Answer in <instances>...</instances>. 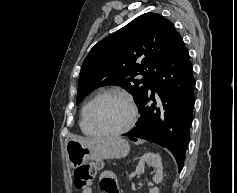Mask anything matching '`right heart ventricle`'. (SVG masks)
<instances>
[{
	"instance_id": "right-heart-ventricle-1",
	"label": "right heart ventricle",
	"mask_w": 237,
	"mask_h": 193,
	"mask_svg": "<svg viewBox=\"0 0 237 193\" xmlns=\"http://www.w3.org/2000/svg\"><path fill=\"white\" fill-rule=\"evenodd\" d=\"M92 100L87 101L84 106L82 107L81 114H80V121L79 126L81 131L88 136H98V134L91 128V126L88 123L87 119V111L89 104Z\"/></svg>"
}]
</instances>
